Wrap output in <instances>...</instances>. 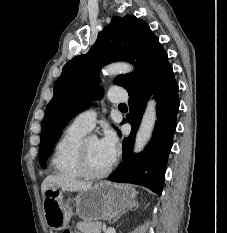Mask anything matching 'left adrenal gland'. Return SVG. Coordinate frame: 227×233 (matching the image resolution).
Here are the masks:
<instances>
[{"mask_svg":"<svg viewBox=\"0 0 227 233\" xmlns=\"http://www.w3.org/2000/svg\"><path fill=\"white\" fill-rule=\"evenodd\" d=\"M133 206H134V207H137V206H138V204H134ZM117 219H118V218L114 219L113 223H114V222H116V221H117Z\"/></svg>","mask_w":227,"mask_h":233,"instance_id":"left-adrenal-gland-1","label":"left adrenal gland"}]
</instances>
